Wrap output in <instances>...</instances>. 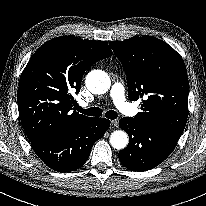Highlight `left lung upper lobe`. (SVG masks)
<instances>
[{
    "label": "left lung upper lobe",
    "instance_id": "obj_1",
    "mask_svg": "<svg viewBox=\"0 0 206 206\" xmlns=\"http://www.w3.org/2000/svg\"><path fill=\"white\" fill-rule=\"evenodd\" d=\"M128 80L130 101L143 98L137 123L181 135L188 117L189 82L182 57L167 43L134 37L110 43Z\"/></svg>",
    "mask_w": 206,
    "mask_h": 206
}]
</instances>
